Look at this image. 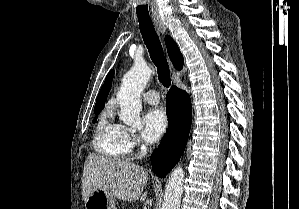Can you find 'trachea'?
Segmentation results:
<instances>
[{
    "mask_svg": "<svg viewBox=\"0 0 299 209\" xmlns=\"http://www.w3.org/2000/svg\"><path fill=\"white\" fill-rule=\"evenodd\" d=\"M138 21L140 31L150 53V57L157 67L158 79L165 87L168 88L171 84L169 66L164 56L163 48L155 31L153 22L150 17L143 16H138Z\"/></svg>",
    "mask_w": 299,
    "mask_h": 209,
    "instance_id": "obj_1",
    "label": "trachea"
}]
</instances>
